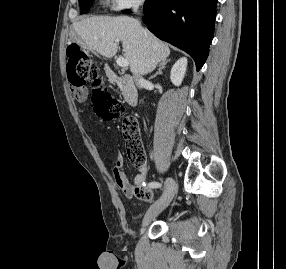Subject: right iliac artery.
<instances>
[{"mask_svg": "<svg viewBox=\"0 0 286 269\" xmlns=\"http://www.w3.org/2000/svg\"><path fill=\"white\" fill-rule=\"evenodd\" d=\"M149 187L150 188H159V187H161V184L158 182H150Z\"/></svg>", "mask_w": 286, "mask_h": 269, "instance_id": "obj_1", "label": "right iliac artery"}]
</instances>
